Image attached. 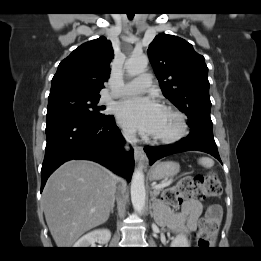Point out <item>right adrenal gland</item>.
<instances>
[{"label":"right adrenal gland","mask_w":261,"mask_h":261,"mask_svg":"<svg viewBox=\"0 0 261 261\" xmlns=\"http://www.w3.org/2000/svg\"><path fill=\"white\" fill-rule=\"evenodd\" d=\"M115 200H117V197L115 196V198H114V202H115ZM114 204H113V206H112V208H111V213H113V211H114Z\"/></svg>","instance_id":"1"}]
</instances>
